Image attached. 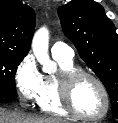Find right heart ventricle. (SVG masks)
Here are the masks:
<instances>
[{
    "mask_svg": "<svg viewBox=\"0 0 118 123\" xmlns=\"http://www.w3.org/2000/svg\"><path fill=\"white\" fill-rule=\"evenodd\" d=\"M56 61L61 71L75 69L72 61L62 59H56ZM56 79L55 76L43 77L42 88L36 102L42 112L55 116H67L69 113L63 108L59 99Z\"/></svg>",
    "mask_w": 118,
    "mask_h": 123,
    "instance_id": "right-heart-ventricle-1",
    "label": "right heart ventricle"
}]
</instances>
